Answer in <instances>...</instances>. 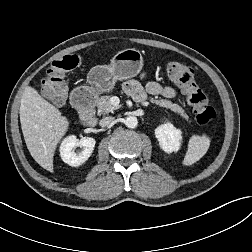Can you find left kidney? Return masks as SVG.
Segmentation results:
<instances>
[{"mask_svg":"<svg viewBox=\"0 0 252 252\" xmlns=\"http://www.w3.org/2000/svg\"><path fill=\"white\" fill-rule=\"evenodd\" d=\"M155 136L162 150L172 153L180 149L181 131L171 123H165L155 129Z\"/></svg>","mask_w":252,"mask_h":252,"instance_id":"left-kidney-1","label":"left kidney"}]
</instances>
